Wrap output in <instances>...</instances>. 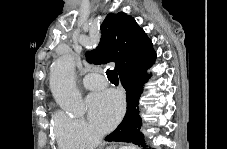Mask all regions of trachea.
I'll return each instance as SVG.
<instances>
[{
	"label": "trachea",
	"mask_w": 227,
	"mask_h": 149,
	"mask_svg": "<svg viewBox=\"0 0 227 149\" xmlns=\"http://www.w3.org/2000/svg\"><path fill=\"white\" fill-rule=\"evenodd\" d=\"M108 80L113 83V84H118L119 83V78L116 70H107L106 71Z\"/></svg>",
	"instance_id": "1"
}]
</instances>
